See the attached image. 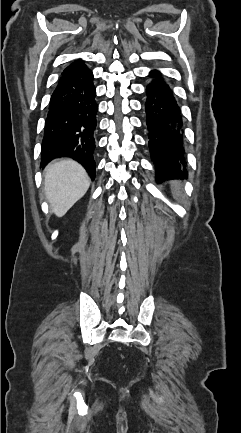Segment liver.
Instances as JSON below:
<instances>
[{
  "mask_svg": "<svg viewBox=\"0 0 241 433\" xmlns=\"http://www.w3.org/2000/svg\"><path fill=\"white\" fill-rule=\"evenodd\" d=\"M90 179L85 169L71 159L52 162L44 171V191L57 217L67 211L87 192Z\"/></svg>",
  "mask_w": 241,
  "mask_h": 433,
  "instance_id": "obj_1",
  "label": "liver"
}]
</instances>
